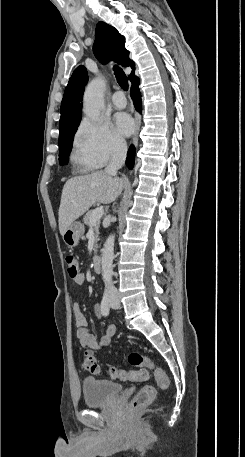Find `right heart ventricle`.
Listing matches in <instances>:
<instances>
[{
    "mask_svg": "<svg viewBox=\"0 0 245 457\" xmlns=\"http://www.w3.org/2000/svg\"><path fill=\"white\" fill-rule=\"evenodd\" d=\"M74 153L76 157L87 167L89 168H95L99 164L95 162L86 152L84 147L79 144L78 139H76L75 144H74Z\"/></svg>",
    "mask_w": 245,
    "mask_h": 457,
    "instance_id": "right-heart-ventricle-1",
    "label": "right heart ventricle"
}]
</instances>
